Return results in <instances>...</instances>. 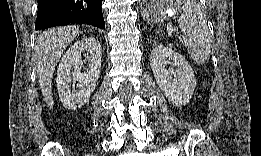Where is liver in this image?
I'll list each match as a JSON object with an SVG mask.
<instances>
[{
    "instance_id": "obj_1",
    "label": "liver",
    "mask_w": 261,
    "mask_h": 156,
    "mask_svg": "<svg viewBox=\"0 0 261 156\" xmlns=\"http://www.w3.org/2000/svg\"><path fill=\"white\" fill-rule=\"evenodd\" d=\"M78 33L79 27L76 26L53 28L43 32L37 39L34 48L36 71L44 101L50 109L54 103L51 85L55 67L64 50Z\"/></svg>"
}]
</instances>
